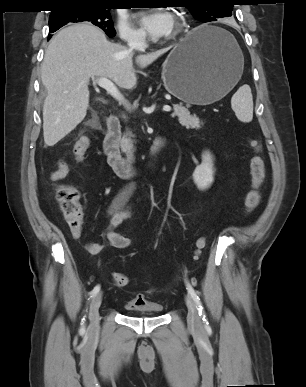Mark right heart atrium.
<instances>
[{
    "mask_svg": "<svg viewBox=\"0 0 306 387\" xmlns=\"http://www.w3.org/2000/svg\"><path fill=\"white\" fill-rule=\"evenodd\" d=\"M118 31L123 41L136 44L144 40V34L136 29L125 17H121L118 21Z\"/></svg>",
    "mask_w": 306,
    "mask_h": 387,
    "instance_id": "right-heart-atrium-1",
    "label": "right heart atrium"
}]
</instances>
